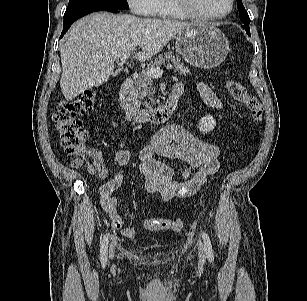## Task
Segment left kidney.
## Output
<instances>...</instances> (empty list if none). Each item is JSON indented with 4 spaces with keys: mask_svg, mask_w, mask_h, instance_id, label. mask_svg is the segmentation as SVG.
Wrapping results in <instances>:
<instances>
[{
    "mask_svg": "<svg viewBox=\"0 0 307 301\" xmlns=\"http://www.w3.org/2000/svg\"><path fill=\"white\" fill-rule=\"evenodd\" d=\"M215 126H216V120L210 115L201 118L198 124L199 130L201 132H210L211 130L214 129Z\"/></svg>",
    "mask_w": 307,
    "mask_h": 301,
    "instance_id": "5707ae66",
    "label": "left kidney"
}]
</instances>
